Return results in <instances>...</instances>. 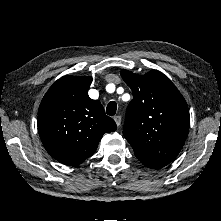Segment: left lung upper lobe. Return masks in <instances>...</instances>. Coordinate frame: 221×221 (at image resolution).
<instances>
[{"mask_svg":"<svg viewBox=\"0 0 221 221\" xmlns=\"http://www.w3.org/2000/svg\"><path fill=\"white\" fill-rule=\"evenodd\" d=\"M133 100L125 116L124 136L135 154L170 163L187 138L190 116L185 99L161 72L143 76L122 70Z\"/></svg>","mask_w":221,"mask_h":221,"instance_id":"1","label":"left lung upper lobe"}]
</instances>
